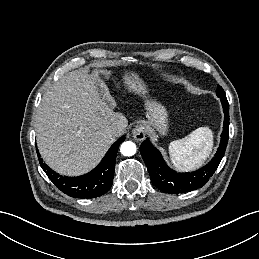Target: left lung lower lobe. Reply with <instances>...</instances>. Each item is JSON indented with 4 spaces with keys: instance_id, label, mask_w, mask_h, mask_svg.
Instances as JSON below:
<instances>
[{
    "instance_id": "left-lung-lower-lobe-1",
    "label": "left lung lower lobe",
    "mask_w": 259,
    "mask_h": 259,
    "mask_svg": "<svg viewBox=\"0 0 259 259\" xmlns=\"http://www.w3.org/2000/svg\"><path fill=\"white\" fill-rule=\"evenodd\" d=\"M225 113L224 126L218 150L212 160L203 168L191 173H177L170 169L161 153L146 139L140 147V153L148 168L153 184L164 193L178 194L189 192L204 186L220 164L229 138V104L225 96H220Z\"/></svg>"
}]
</instances>
